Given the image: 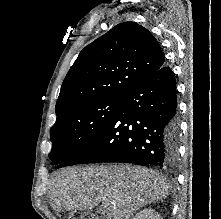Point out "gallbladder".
Instances as JSON below:
<instances>
[{"label":"gallbladder","instance_id":"1","mask_svg":"<svg viewBox=\"0 0 221 219\" xmlns=\"http://www.w3.org/2000/svg\"><path fill=\"white\" fill-rule=\"evenodd\" d=\"M103 211H104L103 208H98V212H99V213H101V212H103Z\"/></svg>","mask_w":221,"mask_h":219}]
</instances>
